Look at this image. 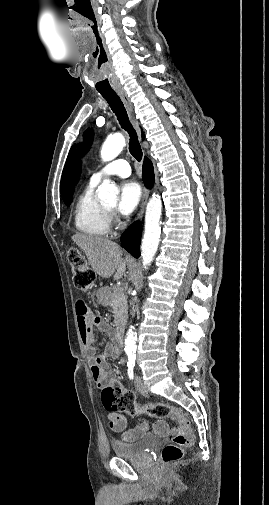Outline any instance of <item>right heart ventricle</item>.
<instances>
[{
    "label": "right heart ventricle",
    "instance_id": "right-heart-ventricle-1",
    "mask_svg": "<svg viewBox=\"0 0 269 505\" xmlns=\"http://www.w3.org/2000/svg\"><path fill=\"white\" fill-rule=\"evenodd\" d=\"M91 181L79 195L74 207V224L78 231L90 236H106L110 231V215L94 194Z\"/></svg>",
    "mask_w": 269,
    "mask_h": 505
}]
</instances>
